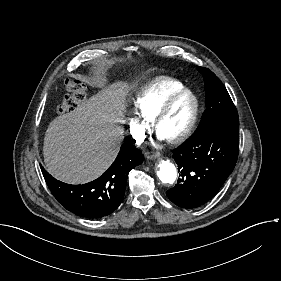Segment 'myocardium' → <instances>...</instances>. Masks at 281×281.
Wrapping results in <instances>:
<instances>
[{
  "label": "myocardium",
  "mask_w": 281,
  "mask_h": 281,
  "mask_svg": "<svg viewBox=\"0 0 281 281\" xmlns=\"http://www.w3.org/2000/svg\"><path fill=\"white\" fill-rule=\"evenodd\" d=\"M189 95L194 102V106L192 109V112L190 114V117L185 124V126L174 136L164 139L168 144L176 145L181 142H183L193 131L198 115H199V101L197 96L190 90L185 89L182 90L172 96H170L164 103L161 104V106L153 113V115L148 119V127L157 135H158V126L164 115L167 113V111L170 109V107L173 105L175 101H177L179 98Z\"/></svg>",
  "instance_id": "obj_1"
}]
</instances>
